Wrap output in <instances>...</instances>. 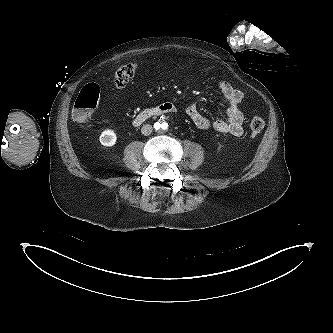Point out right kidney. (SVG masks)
Segmentation results:
<instances>
[{
  "instance_id": "obj_1",
  "label": "right kidney",
  "mask_w": 333,
  "mask_h": 333,
  "mask_svg": "<svg viewBox=\"0 0 333 333\" xmlns=\"http://www.w3.org/2000/svg\"><path fill=\"white\" fill-rule=\"evenodd\" d=\"M99 140L103 146L110 147L116 143L117 137L113 130L107 129L101 133Z\"/></svg>"
}]
</instances>
